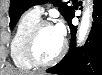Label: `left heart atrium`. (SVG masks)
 <instances>
[{
  "instance_id": "obj_1",
  "label": "left heart atrium",
  "mask_w": 102,
  "mask_h": 75,
  "mask_svg": "<svg viewBox=\"0 0 102 75\" xmlns=\"http://www.w3.org/2000/svg\"><path fill=\"white\" fill-rule=\"evenodd\" d=\"M59 35L61 36V38L63 39L66 33V28L65 25L62 22H58L57 25L55 26Z\"/></svg>"
}]
</instances>
